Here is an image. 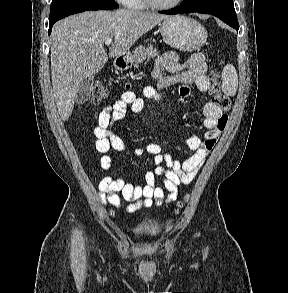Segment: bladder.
<instances>
[{
    "label": "bladder",
    "mask_w": 288,
    "mask_h": 293,
    "mask_svg": "<svg viewBox=\"0 0 288 293\" xmlns=\"http://www.w3.org/2000/svg\"><path fill=\"white\" fill-rule=\"evenodd\" d=\"M162 231L161 226L155 221H148L136 226L133 233L138 237L154 238Z\"/></svg>",
    "instance_id": "obj_1"
}]
</instances>
